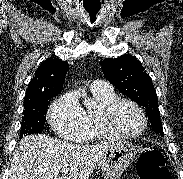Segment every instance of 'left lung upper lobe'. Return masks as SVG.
<instances>
[{"label":"left lung upper lobe","instance_id":"obj_1","mask_svg":"<svg viewBox=\"0 0 183 179\" xmlns=\"http://www.w3.org/2000/svg\"><path fill=\"white\" fill-rule=\"evenodd\" d=\"M105 77L123 94L145 107L155 131L163 135L157 94L150 76L141 63L129 54L118 58H106L102 62Z\"/></svg>","mask_w":183,"mask_h":179}]
</instances>
